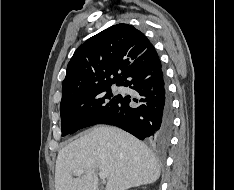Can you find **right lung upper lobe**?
<instances>
[{"label":"right lung upper lobe","instance_id":"obj_1","mask_svg":"<svg viewBox=\"0 0 234 190\" xmlns=\"http://www.w3.org/2000/svg\"><path fill=\"white\" fill-rule=\"evenodd\" d=\"M147 37L128 24L113 25L89 38L74 53L62 85V102L118 83L148 47Z\"/></svg>","mask_w":234,"mask_h":190}]
</instances>
